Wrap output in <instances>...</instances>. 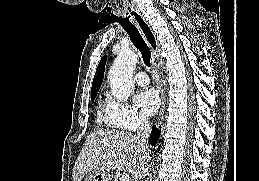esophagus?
Segmentation results:
<instances>
[{
  "mask_svg": "<svg viewBox=\"0 0 259 181\" xmlns=\"http://www.w3.org/2000/svg\"><path fill=\"white\" fill-rule=\"evenodd\" d=\"M133 19L136 22V24L138 25L139 29L141 30L154 57L157 58L158 54L160 52L159 43L157 41L155 33L153 32V30L151 29V27L149 25V23L146 21V19L143 17V15H141L139 12L136 14H133ZM161 93H162V104H161L160 112H159V115L157 118V124H160V122L163 118L165 101H166L163 89L161 90Z\"/></svg>",
  "mask_w": 259,
  "mask_h": 181,
  "instance_id": "34e87169",
  "label": "esophagus"
}]
</instances>
